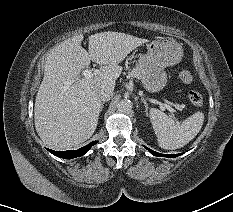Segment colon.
<instances>
[{
  "mask_svg": "<svg viewBox=\"0 0 233 212\" xmlns=\"http://www.w3.org/2000/svg\"><path fill=\"white\" fill-rule=\"evenodd\" d=\"M179 79L187 85L193 82L192 74L185 70L179 73ZM188 98L195 107H201L203 105V98L201 94L196 91H190L188 93Z\"/></svg>",
  "mask_w": 233,
  "mask_h": 212,
  "instance_id": "5ec220e1",
  "label": "colon"
}]
</instances>
